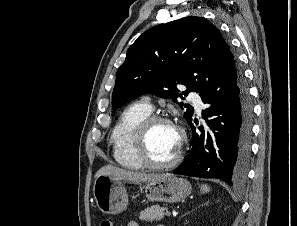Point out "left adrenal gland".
I'll use <instances>...</instances> for the list:
<instances>
[{
	"label": "left adrenal gland",
	"instance_id": "a2214340",
	"mask_svg": "<svg viewBox=\"0 0 297 226\" xmlns=\"http://www.w3.org/2000/svg\"><path fill=\"white\" fill-rule=\"evenodd\" d=\"M208 204V202L207 203H205V204H202L201 206H203V205H207ZM200 207V206H199ZM186 215V214H185Z\"/></svg>",
	"mask_w": 297,
	"mask_h": 226
}]
</instances>
